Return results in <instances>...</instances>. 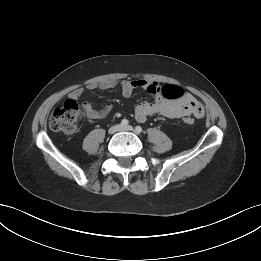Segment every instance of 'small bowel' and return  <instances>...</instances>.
Returning a JSON list of instances; mask_svg holds the SVG:
<instances>
[{
	"label": "small bowel",
	"instance_id": "obj_1",
	"mask_svg": "<svg viewBox=\"0 0 261 261\" xmlns=\"http://www.w3.org/2000/svg\"><path fill=\"white\" fill-rule=\"evenodd\" d=\"M120 87L124 97H130L137 88L144 89L154 96L153 102H140L135 107V119L143 123L149 116L158 114L166 118L178 119L186 116L201 118L204 109L201 103L190 93H184L178 100H169L163 95V87L156 81L147 79L116 80L109 79L99 83L92 82L87 85L88 90L101 89L109 90ZM83 88H77L69 93L70 100L77 101L83 94ZM85 115L89 119L98 120L105 118L112 110V105L107 103L101 108H96L89 102L82 105Z\"/></svg>",
	"mask_w": 261,
	"mask_h": 261
}]
</instances>
